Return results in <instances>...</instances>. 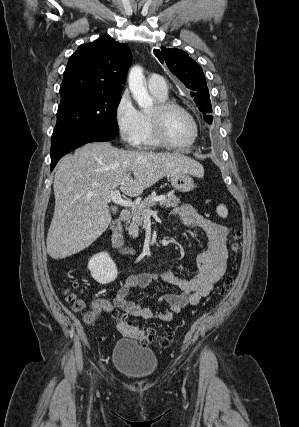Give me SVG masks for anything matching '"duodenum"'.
I'll list each match as a JSON object with an SVG mask.
<instances>
[{
	"instance_id": "obj_1",
	"label": "duodenum",
	"mask_w": 299,
	"mask_h": 427,
	"mask_svg": "<svg viewBox=\"0 0 299 427\" xmlns=\"http://www.w3.org/2000/svg\"><path fill=\"white\" fill-rule=\"evenodd\" d=\"M130 212L127 210L121 211L117 220L111 226L112 243L124 255H133V250L125 241L123 225L129 220Z\"/></svg>"
}]
</instances>
